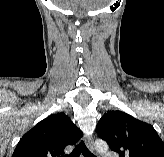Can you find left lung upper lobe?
Segmentation results:
<instances>
[{
  "mask_svg": "<svg viewBox=\"0 0 164 157\" xmlns=\"http://www.w3.org/2000/svg\"><path fill=\"white\" fill-rule=\"evenodd\" d=\"M119 157H164V143L150 124L122 111H108L96 127Z\"/></svg>",
  "mask_w": 164,
  "mask_h": 157,
  "instance_id": "obj_1",
  "label": "left lung upper lobe"
}]
</instances>
